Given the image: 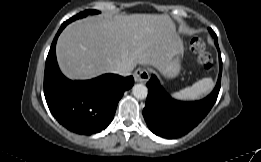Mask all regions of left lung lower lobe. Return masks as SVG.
I'll use <instances>...</instances> for the list:
<instances>
[{
	"label": "left lung lower lobe",
	"instance_id": "0a47b994",
	"mask_svg": "<svg viewBox=\"0 0 261 162\" xmlns=\"http://www.w3.org/2000/svg\"><path fill=\"white\" fill-rule=\"evenodd\" d=\"M215 45L219 53V77L214 90L206 98L195 102L177 101L165 92L155 76L148 81V96L143 116L149 129L157 136L171 139L187 134L205 118L215 104L222 74V60L217 41Z\"/></svg>",
	"mask_w": 261,
	"mask_h": 162
}]
</instances>
